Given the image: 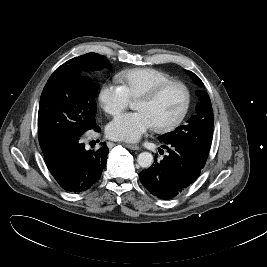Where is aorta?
<instances>
[{"label": "aorta", "mask_w": 267, "mask_h": 267, "mask_svg": "<svg viewBox=\"0 0 267 267\" xmlns=\"http://www.w3.org/2000/svg\"><path fill=\"white\" fill-rule=\"evenodd\" d=\"M137 162L142 168H149L153 163V155L149 152H142L138 155Z\"/></svg>", "instance_id": "obj_1"}]
</instances>
